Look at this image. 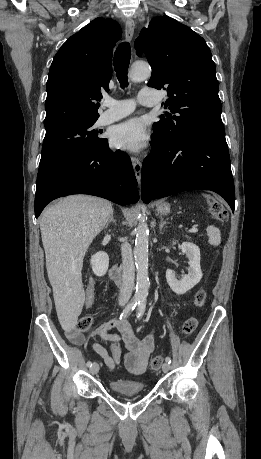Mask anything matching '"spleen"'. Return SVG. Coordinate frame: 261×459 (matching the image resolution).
<instances>
[{"label": "spleen", "instance_id": "1", "mask_svg": "<svg viewBox=\"0 0 261 459\" xmlns=\"http://www.w3.org/2000/svg\"><path fill=\"white\" fill-rule=\"evenodd\" d=\"M206 232L208 235V242L211 245L218 246L221 243V234L217 227L210 225L207 227Z\"/></svg>", "mask_w": 261, "mask_h": 459}]
</instances>
